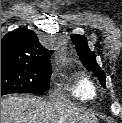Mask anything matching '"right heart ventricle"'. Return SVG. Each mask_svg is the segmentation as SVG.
<instances>
[{
    "label": "right heart ventricle",
    "mask_w": 122,
    "mask_h": 123,
    "mask_svg": "<svg viewBox=\"0 0 122 123\" xmlns=\"http://www.w3.org/2000/svg\"><path fill=\"white\" fill-rule=\"evenodd\" d=\"M67 91L71 96L81 101H90L96 96L94 83L84 74L76 75L71 84L67 86Z\"/></svg>",
    "instance_id": "e07e8e85"
}]
</instances>
